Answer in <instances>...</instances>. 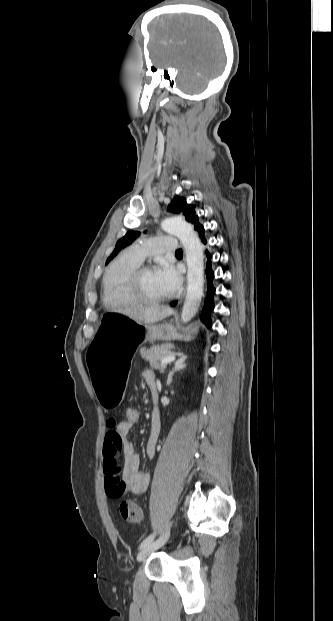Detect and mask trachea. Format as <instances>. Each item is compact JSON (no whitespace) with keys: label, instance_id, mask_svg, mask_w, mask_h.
I'll return each mask as SVG.
<instances>
[{"label":"trachea","instance_id":"obj_1","mask_svg":"<svg viewBox=\"0 0 333 621\" xmlns=\"http://www.w3.org/2000/svg\"><path fill=\"white\" fill-rule=\"evenodd\" d=\"M181 253H182V249H178V250L176 251V254H181Z\"/></svg>","mask_w":333,"mask_h":621}]
</instances>
